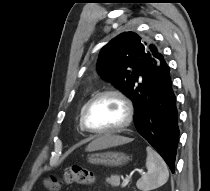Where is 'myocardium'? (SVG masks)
<instances>
[{"label":"myocardium","instance_id":"f54148a6","mask_svg":"<svg viewBox=\"0 0 210 191\" xmlns=\"http://www.w3.org/2000/svg\"><path fill=\"white\" fill-rule=\"evenodd\" d=\"M106 96H114L122 102V104L125 107V113H126L125 119L120 125L113 127V128H107V129L91 128L87 122L88 112H89L91 106L96 101H98L99 99L106 97ZM133 116H134V108H133V104H132L131 100L121 91L111 89V90H105V91L99 92L88 100V102L85 104V106L82 110V113L80 116V123H81L82 129L85 130L86 132H89L92 134H111V133L121 132L122 130L127 128L131 124V122L133 120Z\"/></svg>","mask_w":210,"mask_h":191}]
</instances>
